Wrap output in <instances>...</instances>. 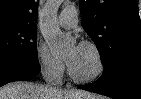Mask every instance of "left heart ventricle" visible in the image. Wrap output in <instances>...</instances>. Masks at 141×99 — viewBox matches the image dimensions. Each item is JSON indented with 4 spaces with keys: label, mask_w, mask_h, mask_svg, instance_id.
<instances>
[{
    "label": "left heart ventricle",
    "mask_w": 141,
    "mask_h": 99,
    "mask_svg": "<svg viewBox=\"0 0 141 99\" xmlns=\"http://www.w3.org/2000/svg\"><path fill=\"white\" fill-rule=\"evenodd\" d=\"M73 49H71L67 54V60L69 61L72 55ZM73 72L81 77L91 75L96 69V60L93 53L80 46V49L76 56L69 62Z\"/></svg>",
    "instance_id": "obj_1"
}]
</instances>
